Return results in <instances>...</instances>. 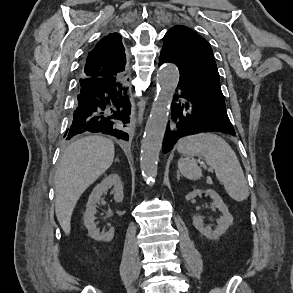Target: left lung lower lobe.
<instances>
[{
  "instance_id": "obj_1",
  "label": "left lung lower lobe",
  "mask_w": 293,
  "mask_h": 293,
  "mask_svg": "<svg viewBox=\"0 0 293 293\" xmlns=\"http://www.w3.org/2000/svg\"><path fill=\"white\" fill-rule=\"evenodd\" d=\"M164 62L167 60L160 56L159 65ZM171 106V116L176 128L174 131L168 129L166 133L163 143L164 153L169 152L175 143L186 135L213 131L236 135L224 101L204 96L197 90L179 83Z\"/></svg>"
}]
</instances>
